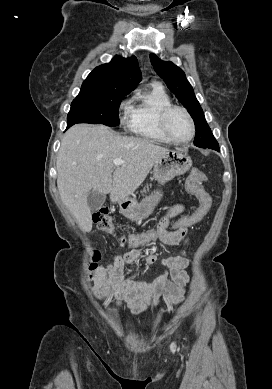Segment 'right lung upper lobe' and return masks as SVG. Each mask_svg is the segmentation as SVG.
I'll return each mask as SVG.
<instances>
[{"mask_svg": "<svg viewBox=\"0 0 272 389\" xmlns=\"http://www.w3.org/2000/svg\"><path fill=\"white\" fill-rule=\"evenodd\" d=\"M141 79L136 57L123 58L116 55L111 62L96 67L85 79L82 86L131 92Z\"/></svg>", "mask_w": 272, "mask_h": 389, "instance_id": "1", "label": "right lung upper lobe"}]
</instances>
